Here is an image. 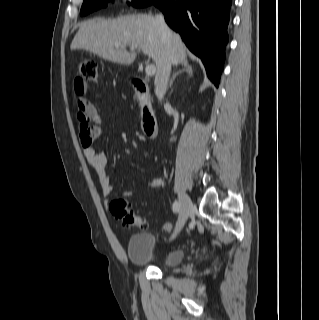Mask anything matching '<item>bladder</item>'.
Instances as JSON below:
<instances>
[{
    "instance_id": "obj_1",
    "label": "bladder",
    "mask_w": 319,
    "mask_h": 320,
    "mask_svg": "<svg viewBox=\"0 0 319 320\" xmlns=\"http://www.w3.org/2000/svg\"><path fill=\"white\" fill-rule=\"evenodd\" d=\"M156 237L152 233H135L128 239L127 255L135 264L152 265L158 268H168L179 264L184 253L175 248L164 252H157Z\"/></svg>"
}]
</instances>
